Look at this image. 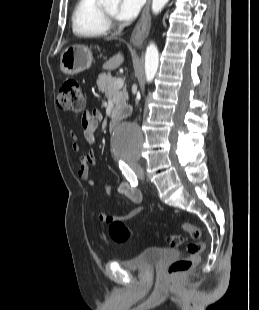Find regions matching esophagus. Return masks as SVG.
<instances>
[{"mask_svg": "<svg viewBox=\"0 0 259 310\" xmlns=\"http://www.w3.org/2000/svg\"><path fill=\"white\" fill-rule=\"evenodd\" d=\"M150 5L151 0H147V3L144 7L142 12L141 18L137 22L131 36V43L136 46L140 47L150 31Z\"/></svg>", "mask_w": 259, "mask_h": 310, "instance_id": "esophagus-1", "label": "esophagus"}]
</instances>
